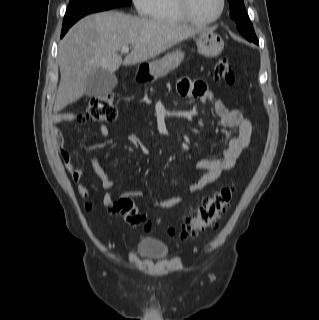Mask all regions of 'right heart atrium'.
<instances>
[{"label": "right heart atrium", "mask_w": 319, "mask_h": 320, "mask_svg": "<svg viewBox=\"0 0 319 320\" xmlns=\"http://www.w3.org/2000/svg\"><path fill=\"white\" fill-rule=\"evenodd\" d=\"M132 3L139 14L150 15L154 7L155 0H132Z\"/></svg>", "instance_id": "1"}]
</instances>
